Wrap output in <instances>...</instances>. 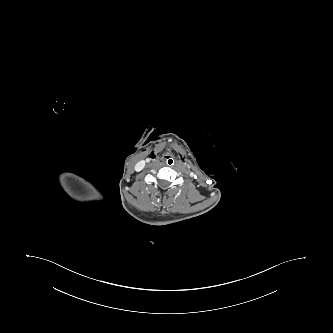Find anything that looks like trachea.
Returning <instances> with one entry per match:
<instances>
[{"label": "trachea", "instance_id": "trachea-1", "mask_svg": "<svg viewBox=\"0 0 333 333\" xmlns=\"http://www.w3.org/2000/svg\"><path fill=\"white\" fill-rule=\"evenodd\" d=\"M163 161L168 166H173L177 162V157L173 153L164 156Z\"/></svg>", "mask_w": 333, "mask_h": 333}]
</instances>
